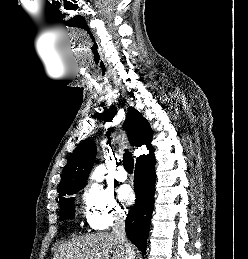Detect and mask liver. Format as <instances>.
<instances>
[{"instance_id": "6515ba94", "label": "liver", "mask_w": 248, "mask_h": 259, "mask_svg": "<svg viewBox=\"0 0 248 259\" xmlns=\"http://www.w3.org/2000/svg\"><path fill=\"white\" fill-rule=\"evenodd\" d=\"M53 259H126V252L124 244L112 233H96L61 244Z\"/></svg>"}]
</instances>
